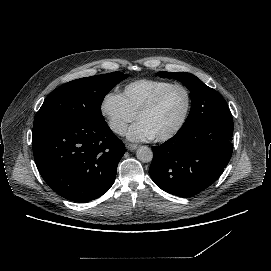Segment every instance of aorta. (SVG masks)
Here are the masks:
<instances>
[{"mask_svg": "<svg viewBox=\"0 0 271 271\" xmlns=\"http://www.w3.org/2000/svg\"><path fill=\"white\" fill-rule=\"evenodd\" d=\"M137 158L143 163H149L153 159V152L147 146H141L137 150Z\"/></svg>", "mask_w": 271, "mask_h": 271, "instance_id": "aorta-1", "label": "aorta"}]
</instances>
